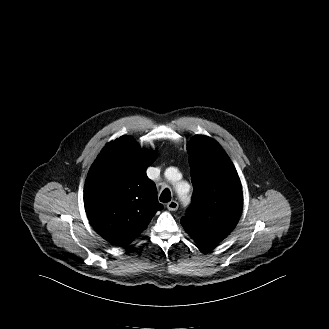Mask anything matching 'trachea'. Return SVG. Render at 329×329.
<instances>
[{"label": "trachea", "instance_id": "trachea-1", "mask_svg": "<svg viewBox=\"0 0 329 329\" xmlns=\"http://www.w3.org/2000/svg\"><path fill=\"white\" fill-rule=\"evenodd\" d=\"M171 200V192L168 188L164 189L160 195V201L163 203H167Z\"/></svg>", "mask_w": 329, "mask_h": 329}]
</instances>
